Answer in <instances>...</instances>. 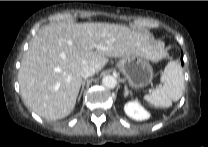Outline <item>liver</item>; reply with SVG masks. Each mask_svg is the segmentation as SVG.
Wrapping results in <instances>:
<instances>
[{
    "label": "liver",
    "instance_id": "liver-1",
    "mask_svg": "<svg viewBox=\"0 0 208 147\" xmlns=\"http://www.w3.org/2000/svg\"><path fill=\"white\" fill-rule=\"evenodd\" d=\"M139 55L153 62L165 56L163 43L148 34L111 23H54L41 29L18 72L22 99L39 116L56 120L75 107L81 69L99 72L108 57Z\"/></svg>",
    "mask_w": 208,
    "mask_h": 147
}]
</instances>
